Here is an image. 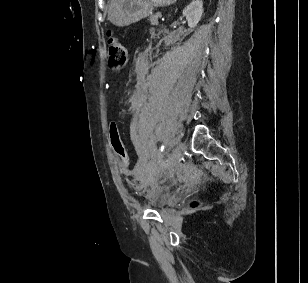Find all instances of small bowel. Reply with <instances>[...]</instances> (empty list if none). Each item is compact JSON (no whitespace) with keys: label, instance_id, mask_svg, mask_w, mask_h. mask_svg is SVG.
Segmentation results:
<instances>
[{"label":"small bowel","instance_id":"c3829d8e","mask_svg":"<svg viewBox=\"0 0 308 283\" xmlns=\"http://www.w3.org/2000/svg\"><path fill=\"white\" fill-rule=\"evenodd\" d=\"M146 101V95L145 93H143L142 91H134L133 94L131 95V98H130V106H131V109L134 110V111H137L139 109H141V107L144 105ZM122 171L123 172H126V168L125 167H122Z\"/></svg>","mask_w":308,"mask_h":283}]
</instances>
